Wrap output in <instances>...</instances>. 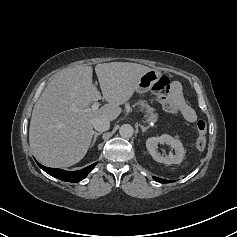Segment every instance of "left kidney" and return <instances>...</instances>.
<instances>
[{
  "mask_svg": "<svg viewBox=\"0 0 237 237\" xmlns=\"http://www.w3.org/2000/svg\"><path fill=\"white\" fill-rule=\"evenodd\" d=\"M158 143H166L170 145L171 148L175 150V154L172 152L167 156H162L158 151ZM146 148L157 162L164 163L167 165L170 164H180L185 156V150L182 143L178 139H174L168 134H163L160 137H151L146 141Z\"/></svg>",
  "mask_w": 237,
  "mask_h": 237,
  "instance_id": "left-kidney-1",
  "label": "left kidney"
}]
</instances>
